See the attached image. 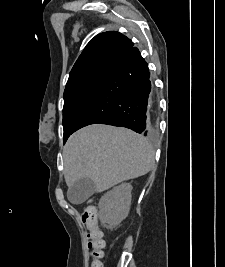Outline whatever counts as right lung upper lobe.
Wrapping results in <instances>:
<instances>
[{
    "mask_svg": "<svg viewBox=\"0 0 225 267\" xmlns=\"http://www.w3.org/2000/svg\"><path fill=\"white\" fill-rule=\"evenodd\" d=\"M133 45L130 39L116 31L98 34L75 62L66 86L85 77L106 74L118 56Z\"/></svg>",
    "mask_w": 225,
    "mask_h": 267,
    "instance_id": "1",
    "label": "right lung upper lobe"
}]
</instances>
